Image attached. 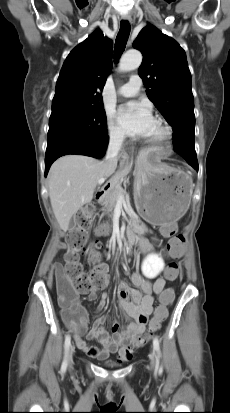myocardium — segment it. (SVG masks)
<instances>
[{
	"label": "myocardium",
	"mask_w": 230,
	"mask_h": 413,
	"mask_svg": "<svg viewBox=\"0 0 230 413\" xmlns=\"http://www.w3.org/2000/svg\"><path fill=\"white\" fill-rule=\"evenodd\" d=\"M155 123L158 127V134L155 137L146 138L145 142L150 146L159 147L170 138L171 130L161 119H156Z\"/></svg>",
	"instance_id": "1"
}]
</instances>
